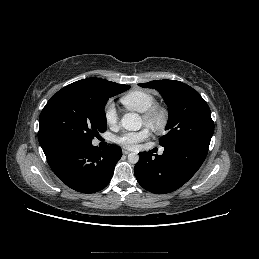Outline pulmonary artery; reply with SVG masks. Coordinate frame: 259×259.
<instances>
[{
  "label": "pulmonary artery",
  "instance_id": "pulmonary-artery-1",
  "mask_svg": "<svg viewBox=\"0 0 259 259\" xmlns=\"http://www.w3.org/2000/svg\"><path fill=\"white\" fill-rule=\"evenodd\" d=\"M162 152H163V151L161 150V151H160V154H162Z\"/></svg>",
  "mask_w": 259,
  "mask_h": 259
}]
</instances>
